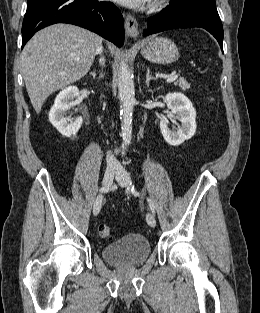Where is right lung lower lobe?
<instances>
[{
	"label": "right lung lower lobe",
	"mask_w": 260,
	"mask_h": 313,
	"mask_svg": "<svg viewBox=\"0 0 260 313\" xmlns=\"http://www.w3.org/2000/svg\"><path fill=\"white\" fill-rule=\"evenodd\" d=\"M55 23H68L87 28L119 47L124 43L123 17L111 2L28 0L22 25V48L34 33Z\"/></svg>",
	"instance_id": "1"
}]
</instances>
